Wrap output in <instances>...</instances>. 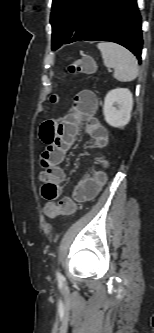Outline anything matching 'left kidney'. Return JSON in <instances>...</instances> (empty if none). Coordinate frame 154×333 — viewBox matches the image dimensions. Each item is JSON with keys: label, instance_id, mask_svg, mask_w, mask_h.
<instances>
[{"label": "left kidney", "instance_id": "5707ae66", "mask_svg": "<svg viewBox=\"0 0 154 333\" xmlns=\"http://www.w3.org/2000/svg\"><path fill=\"white\" fill-rule=\"evenodd\" d=\"M132 107L133 96L128 89L116 88L109 91L103 105L105 121L112 127L123 128L130 121Z\"/></svg>", "mask_w": 154, "mask_h": 333}]
</instances>
